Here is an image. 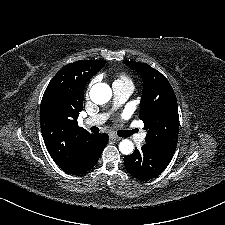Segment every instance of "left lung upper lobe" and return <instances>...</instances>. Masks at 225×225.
<instances>
[{
	"label": "left lung upper lobe",
	"instance_id": "1",
	"mask_svg": "<svg viewBox=\"0 0 225 225\" xmlns=\"http://www.w3.org/2000/svg\"><path fill=\"white\" fill-rule=\"evenodd\" d=\"M137 71L143 80L139 118L147 131L146 145L175 152L179 115L176 96L168 80L148 64L124 62Z\"/></svg>",
	"mask_w": 225,
	"mask_h": 225
}]
</instances>
